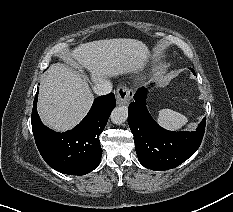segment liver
<instances>
[{"instance_id": "1", "label": "liver", "mask_w": 233, "mask_h": 212, "mask_svg": "<svg viewBox=\"0 0 233 212\" xmlns=\"http://www.w3.org/2000/svg\"><path fill=\"white\" fill-rule=\"evenodd\" d=\"M149 55L148 47L130 38L104 39L80 44L69 53V60L87 68L97 83L141 69ZM94 96L86 80L62 63L50 66L42 80L38 113L44 124L56 131L77 125L87 114Z\"/></svg>"}]
</instances>
